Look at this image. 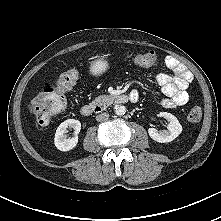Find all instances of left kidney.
Wrapping results in <instances>:
<instances>
[{
    "mask_svg": "<svg viewBox=\"0 0 221 221\" xmlns=\"http://www.w3.org/2000/svg\"><path fill=\"white\" fill-rule=\"evenodd\" d=\"M160 116L169 122L167 130L158 131L156 128H149L148 134L153 140L159 143L171 142L180 135L182 126L178 119L171 113L160 112Z\"/></svg>",
    "mask_w": 221,
    "mask_h": 221,
    "instance_id": "left-kidney-1",
    "label": "left kidney"
}]
</instances>
